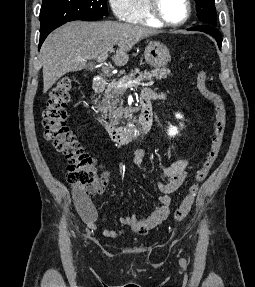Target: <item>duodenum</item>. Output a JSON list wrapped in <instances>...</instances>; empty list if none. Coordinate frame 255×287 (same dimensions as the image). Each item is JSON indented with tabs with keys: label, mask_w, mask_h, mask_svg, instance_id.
<instances>
[{
	"label": "duodenum",
	"mask_w": 255,
	"mask_h": 287,
	"mask_svg": "<svg viewBox=\"0 0 255 287\" xmlns=\"http://www.w3.org/2000/svg\"><path fill=\"white\" fill-rule=\"evenodd\" d=\"M107 82L102 78H98L93 84V94L90 97L87 108L90 115L105 126L111 140L116 144H126L133 139V130L126 127H116L111 124L105 123L96 113L94 105L96 103L98 95H100L106 88ZM152 94L150 91H143L140 94V105L142 108V114L139 118L137 127L142 134L149 131L153 122V112L151 107Z\"/></svg>",
	"instance_id": "obj_1"
}]
</instances>
